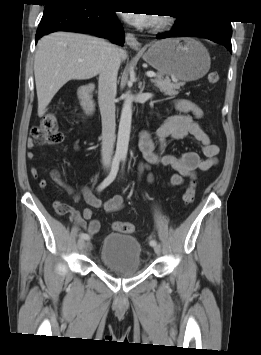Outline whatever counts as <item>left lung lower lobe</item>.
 I'll return each instance as SVG.
<instances>
[{"instance_id": "left-lung-lower-lobe-1", "label": "left lung lower lobe", "mask_w": 261, "mask_h": 355, "mask_svg": "<svg viewBox=\"0 0 261 355\" xmlns=\"http://www.w3.org/2000/svg\"><path fill=\"white\" fill-rule=\"evenodd\" d=\"M177 18L175 25L169 33L157 34L156 38L164 39L175 36L202 37L221 43L232 52V28L229 20L216 18Z\"/></svg>"}]
</instances>
